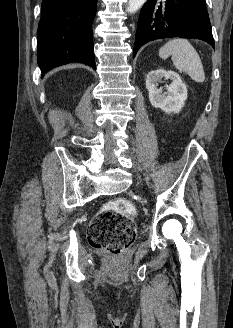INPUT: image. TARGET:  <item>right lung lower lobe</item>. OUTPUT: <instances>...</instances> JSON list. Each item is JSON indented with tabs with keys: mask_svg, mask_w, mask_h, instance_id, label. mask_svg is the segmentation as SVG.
I'll use <instances>...</instances> for the list:
<instances>
[{
	"mask_svg": "<svg viewBox=\"0 0 233 328\" xmlns=\"http://www.w3.org/2000/svg\"><path fill=\"white\" fill-rule=\"evenodd\" d=\"M97 0H43L38 27V64L42 73L81 62L96 69L92 22Z\"/></svg>",
	"mask_w": 233,
	"mask_h": 328,
	"instance_id": "obj_1",
	"label": "right lung lower lobe"
}]
</instances>
